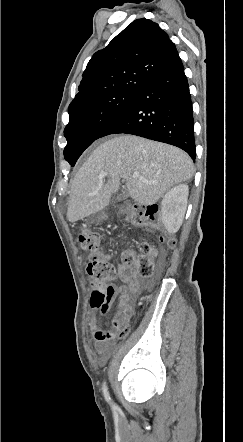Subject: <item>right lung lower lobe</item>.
Instances as JSON below:
<instances>
[{
	"instance_id": "right-lung-lower-lobe-1",
	"label": "right lung lower lobe",
	"mask_w": 243,
	"mask_h": 442,
	"mask_svg": "<svg viewBox=\"0 0 243 442\" xmlns=\"http://www.w3.org/2000/svg\"><path fill=\"white\" fill-rule=\"evenodd\" d=\"M127 133L168 143L196 157L189 84L179 55L155 72L98 137Z\"/></svg>"
}]
</instances>
